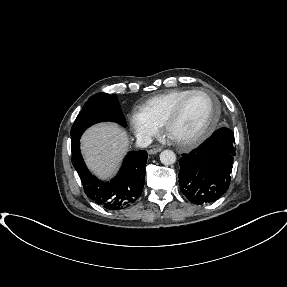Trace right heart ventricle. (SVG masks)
Wrapping results in <instances>:
<instances>
[{"label": "right heart ventricle", "mask_w": 287, "mask_h": 287, "mask_svg": "<svg viewBox=\"0 0 287 287\" xmlns=\"http://www.w3.org/2000/svg\"><path fill=\"white\" fill-rule=\"evenodd\" d=\"M192 89H173L167 92L155 95L139 106L148 119L159 126H162L165 118L177 104V102L187 95Z\"/></svg>", "instance_id": "1"}]
</instances>
